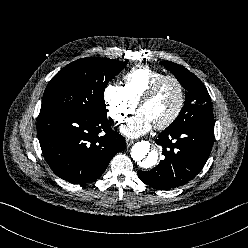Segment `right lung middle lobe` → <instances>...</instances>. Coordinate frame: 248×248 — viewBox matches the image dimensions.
Masks as SVG:
<instances>
[{
	"mask_svg": "<svg viewBox=\"0 0 248 248\" xmlns=\"http://www.w3.org/2000/svg\"><path fill=\"white\" fill-rule=\"evenodd\" d=\"M126 62L109 58H83L62 68L48 83L41 111L76 113L106 118L104 89Z\"/></svg>",
	"mask_w": 248,
	"mask_h": 248,
	"instance_id": "dd1d6c3e",
	"label": "right lung middle lobe"
}]
</instances>
